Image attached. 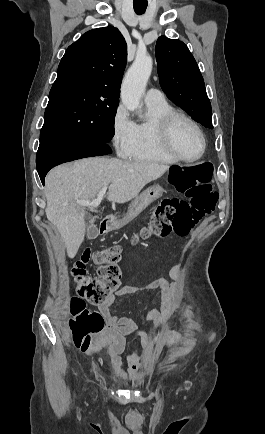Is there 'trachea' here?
Masks as SVG:
<instances>
[{
  "instance_id": "trachea-1",
  "label": "trachea",
  "mask_w": 265,
  "mask_h": 434,
  "mask_svg": "<svg viewBox=\"0 0 265 434\" xmlns=\"http://www.w3.org/2000/svg\"><path fill=\"white\" fill-rule=\"evenodd\" d=\"M133 8L137 15H142L147 8V3H133Z\"/></svg>"
}]
</instances>
